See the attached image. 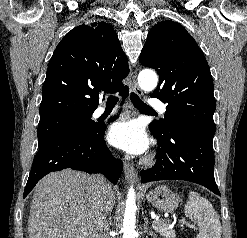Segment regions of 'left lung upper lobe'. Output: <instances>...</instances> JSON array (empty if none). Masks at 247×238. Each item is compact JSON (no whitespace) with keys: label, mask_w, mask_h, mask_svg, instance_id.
<instances>
[{"label":"left lung upper lobe","mask_w":247,"mask_h":238,"mask_svg":"<svg viewBox=\"0 0 247 238\" xmlns=\"http://www.w3.org/2000/svg\"><path fill=\"white\" fill-rule=\"evenodd\" d=\"M140 62L159 74L151 97L167 104L164 119L152 122L150 129L166 137L173 126L182 125L213 139L212 76L202 50L187 30L170 20L157 23L148 34Z\"/></svg>","instance_id":"left-lung-upper-lobe-1"}]
</instances>
